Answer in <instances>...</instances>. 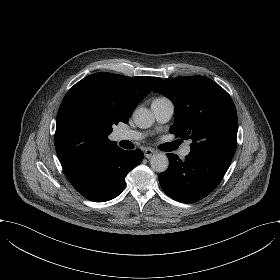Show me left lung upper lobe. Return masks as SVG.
<instances>
[{
  "instance_id": "1",
  "label": "left lung upper lobe",
  "mask_w": 280,
  "mask_h": 280,
  "mask_svg": "<svg viewBox=\"0 0 280 280\" xmlns=\"http://www.w3.org/2000/svg\"><path fill=\"white\" fill-rule=\"evenodd\" d=\"M154 92L175 106L170 133L191 139V151L233 158L237 146L238 119L230 95L203 76H186L160 82Z\"/></svg>"
}]
</instances>
